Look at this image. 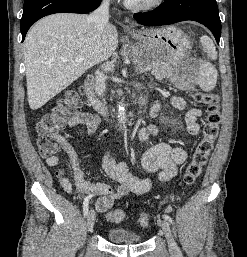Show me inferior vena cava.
<instances>
[{"label":"inferior vena cava","mask_w":247,"mask_h":257,"mask_svg":"<svg viewBox=\"0 0 247 257\" xmlns=\"http://www.w3.org/2000/svg\"><path fill=\"white\" fill-rule=\"evenodd\" d=\"M89 20L94 22L99 32H102L109 22V0H103L101 5L91 13ZM95 90L98 96H102L106 89V77L99 70L96 71Z\"/></svg>","instance_id":"inferior-vena-cava-1"}]
</instances>
